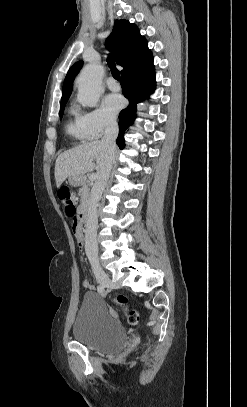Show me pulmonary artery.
I'll use <instances>...</instances> for the list:
<instances>
[{"label": "pulmonary artery", "mask_w": 247, "mask_h": 407, "mask_svg": "<svg viewBox=\"0 0 247 407\" xmlns=\"http://www.w3.org/2000/svg\"><path fill=\"white\" fill-rule=\"evenodd\" d=\"M106 84L107 87L112 91H118L120 89V85L114 79L107 80Z\"/></svg>", "instance_id": "pulmonary-artery-1"}]
</instances>
